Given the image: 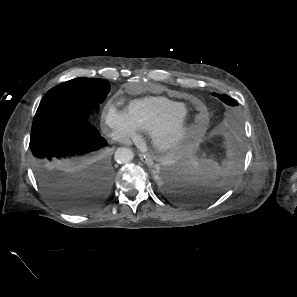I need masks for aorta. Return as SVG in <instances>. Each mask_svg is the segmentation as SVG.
<instances>
[{
	"mask_svg": "<svg viewBox=\"0 0 297 297\" xmlns=\"http://www.w3.org/2000/svg\"><path fill=\"white\" fill-rule=\"evenodd\" d=\"M114 157L118 163L125 164L129 163L133 159L134 154L131 149L122 147L116 150Z\"/></svg>",
	"mask_w": 297,
	"mask_h": 297,
	"instance_id": "aorta-1",
	"label": "aorta"
}]
</instances>
